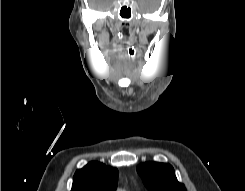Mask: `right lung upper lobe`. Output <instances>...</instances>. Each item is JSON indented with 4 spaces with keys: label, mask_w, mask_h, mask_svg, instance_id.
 <instances>
[{
    "label": "right lung upper lobe",
    "mask_w": 245,
    "mask_h": 191,
    "mask_svg": "<svg viewBox=\"0 0 245 191\" xmlns=\"http://www.w3.org/2000/svg\"><path fill=\"white\" fill-rule=\"evenodd\" d=\"M71 191H114L118 170L100 162H90L75 172Z\"/></svg>",
    "instance_id": "cb5924a9"
}]
</instances>
